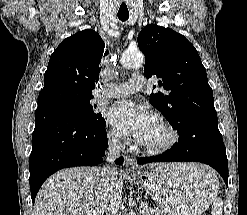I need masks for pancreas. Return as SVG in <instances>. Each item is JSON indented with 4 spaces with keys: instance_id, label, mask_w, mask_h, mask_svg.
<instances>
[{
    "instance_id": "cf45deb5",
    "label": "pancreas",
    "mask_w": 247,
    "mask_h": 215,
    "mask_svg": "<svg viewBox=\"0 0 247 215\" xmlns=\"http://www.w3.org/2000/svg\"><path fill=\"white\" fill-rule=\"evenodd\" d=\"M142 215H165L164 212L157 209H151V208H142L141 209Z\"/></svg>"
}]
</instances>
